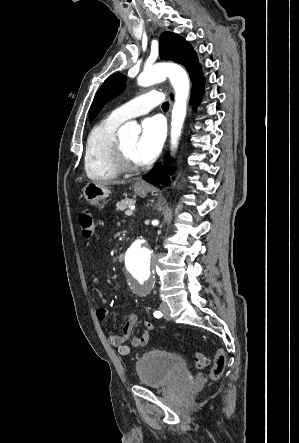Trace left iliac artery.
I'll list each match as a JSON object with an SVG mask.
<instances>
[{"mask_svg":"<svg viewBox=\"0 0 299 443\" xmlns=\"http://www.w3.org/2000/svg\"><path fill=\"white\" fill-rule=\"evenodd\" d=\"M153 315H154V317H156V318H161L162 316H163V314H162V312L161 311H155L154 313H153Z\"/></svg>","mask_w":299,"mask_h":443,"instance_id":"1","label":"left iliac artery"}]
</instances>
